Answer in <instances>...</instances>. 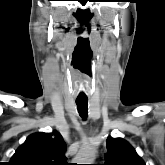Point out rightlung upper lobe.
<instances>
[{
	"instance_id": "right-lung-upper-lobe-1",
	"label": "right lung upper lobe",
	"mask_w": 165,
	"mask_h": 165,
	"mask_svg": "<svg viewBox=\"0 0 165 165\" xmlns=\"http://www.w3.org/2000/svg\"><path fill=\"white\" fill-rule=\"evenodd\" d=\"M66 143L58 132L34 133L17 149L10 165H69Z\"/></svg>"
}]
</instances>
